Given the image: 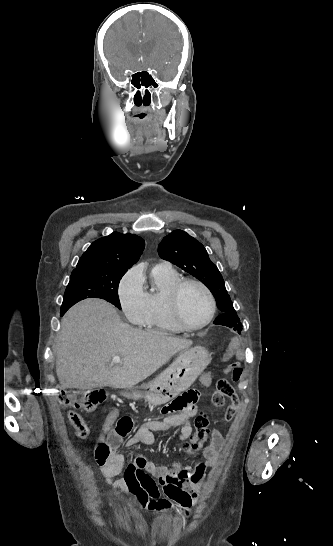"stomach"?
I'll return each instance as SVG.
<instances>
[{
  "mask_svg": "<svg viewBox=\"0 0 333 546\" xmlns=\"http://www.w3.org/2000/svg\"><path fill=\"white\" fill-rule=\"evenodd\" d=\"M211 360V354L204 347L184 350L152 382L126 388L121 395L130 400L144 398L152 405L164 404L188 389Z\"/></svg>",
  "mask_w": 333,
  "mask_h": 546,
  "instance_id": "obj_1",
  "label": "stomach"
}]
</instances>
